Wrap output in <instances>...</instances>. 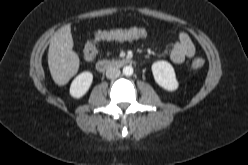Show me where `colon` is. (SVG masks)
I'll use <instances>...</instances> for the list:
<instances>
[{"label": "colon", "mask_w": 248, "mask_h": 165, "mask_svg": "<svg viewBox=\"0 0 248 165\" xmlns=\"http://www.w3.org/2000/svg\"><path fill=\"white\" fill-rule=\"evenodd\" d=\"M136 33L125 29H110L99 30L91 37L93 43L86 45L83 51L84 58L87 61H92L97 55L96 44L107 39H125L134 36ZM204 65L202 58H196L192 61L191 67L193 70H200Z\"/></svg>", "instance_id": "obj_1"}]
</instances>
